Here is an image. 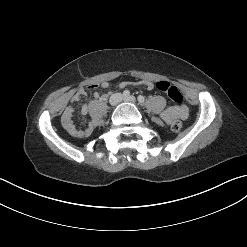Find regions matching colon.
Returning a JSON list of instances; mask_svg holds the SVG:
<instances>
[{
	"mask_svg": "<svg viewBox=\"0 0 247 247\" xmlns=\"http://www.w3.org/2000/svg\"><path fill=\"white\" fill-rule=\"evenodd\" d=\"M156 88L165 93L174 103L181 104L183 102V96L180 90L167 81H158L156 83ZM171 128L173 131H179L182 128V123L179 120H175Z\"/></svg>",
	"mask_w": 247,
	"mask_h": 247,
	"instance_id": "colon-1",
	"label": "colon"
}]
</instances>
